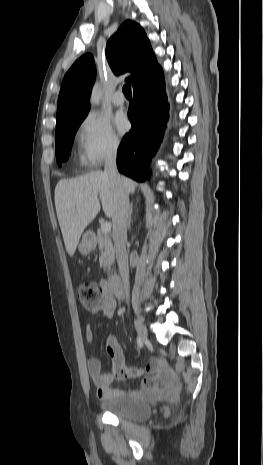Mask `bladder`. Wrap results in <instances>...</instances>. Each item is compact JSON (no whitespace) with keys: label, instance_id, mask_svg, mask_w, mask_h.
<instances>
[{"label":"bladder","instance_id":"1","mask_svg":"<svg viewBox=\"0 0 263 465\" xmlns=\"http://www.w3.org/2000/svg\"><path fill=\"white\" fill-rule=\"evenodd\" d=\"M99 406L104 412L135 422L147 420L153 413L149 403L127 395L104 399Z\"/></svg>","mask_w":263,"mask_h":465}]
</instances>
